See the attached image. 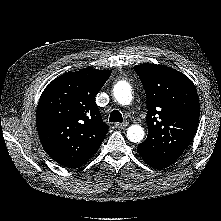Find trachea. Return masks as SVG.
<instances>
[{
  "mask_svg": "<svg viewBox=\"0 0 221 221\" xmlns=\"http://www.w3.org/2000/svg\"><path fill=\"white\" fill-rule=\"evenodd\" d=\"M110 122H122L123 121V117L122 114L120 113V111L118 110H113L110 114V118H109Z\"/></svg>",
  "mask_w": 221,
  "mask_h": 221,
  "instance_id": "3493384b",
  "label": "trachea"
}]
</instances>
